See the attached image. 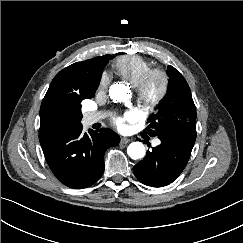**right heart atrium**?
I'll use <instances>...</instances> for the list:
<instances>
[{
	"mask_svg": "<svg viewBox=\"0 0 243 243\" xmlns=\"http://www.w3.org/2000/svg\"><path fill=\"white\" fill-rule=\"evenodd\" d=\"M110 84V77L107 73H102L98 81V90L103 92L106 91Z\"/></svg>",
	"mask_w": 243,
	"mask_h": 243,
	"instance_id": "right-heart-atrium-1",
	"label": "right heart atrium"
}]
</instances>
